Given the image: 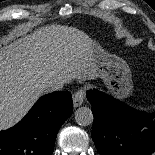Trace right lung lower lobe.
Returning <instances> with one entry per match:
<instances>
[{
	"label": "right lung lower lobe",
	"instance_id": "98d812e1",
	"mask_svg": "<svg viewBox=\"0 0 155 155\" xmlns=\"http://www.w3.org/2000/svg\"><path fill=\"white\" fill-rule=\"evenodd\" d=\"M72 108L69 91L41 97L18 124L0 132V155H51L57 132Z\"/></svg>",
	"mask_w": 155,
	"mask_h": 155
}]
</instances>
